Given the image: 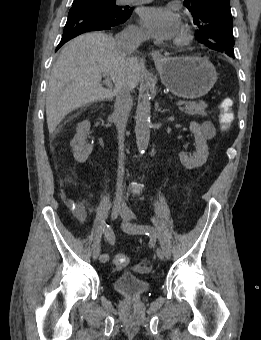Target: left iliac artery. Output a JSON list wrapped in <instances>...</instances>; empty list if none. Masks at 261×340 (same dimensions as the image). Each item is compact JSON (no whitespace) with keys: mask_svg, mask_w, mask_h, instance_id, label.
<instances>
[{"mask_svg":"<svg viewBox=\"0 0 261 340\" xmlns=\"http://www.w3.org/2000/svg\"><path fill=\"white\" fill-rule=\"evenodd\" d=\"M128 228L132 231H140L142 233H145L148 236H152L158 239V242L167 258L171 257V251L170 248L166 242V240L163 238V236L152 226L149 225H142V224H128Z\"/></svg>","mask_w":261,"mask_h":340,"instance_id":"44dca946","label":"left iliac artery"}]
</instances>
